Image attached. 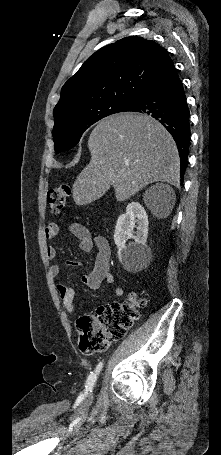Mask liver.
<instances>
[{
    "mask_svg": "<svg viewBox=\"0 0 221 455\" xmlns=\"http://www.w3.org/2000/svg\"><path fill=\"white\" fill-rule=\"evenodd\" d=\"M88 148L91 160L73 184L76 205L101 198L111 185L119 202L153 182L179 186L176 144L148 115L123 112L104 118L91 132Z\"/></svg>",
    "mask_w": 221,
    "mask_h": 455,
    "instance_id": "6515ba94",
    "label": "liver"
}]
</instances>
